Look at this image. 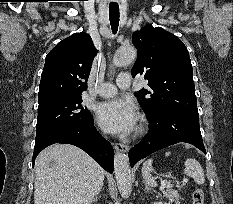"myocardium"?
Masks as SVG:
<instances>
[{"mask_svg": "<svg viewBox=\"0 0 233 204\" xmlns=\"http://www.w3.org/2000/svg\"><path fill=\"white\" fill-rule=\"evenodd\" d=\"M145 128H146L145 121L143 118H140L139 124L136 128V133L142 134L145 131Z\"/></svg>", "mask_w": 233, "mask_h": 204, "instance_id": "myocardium-1", "label": "myocardium"}]
</instances>
